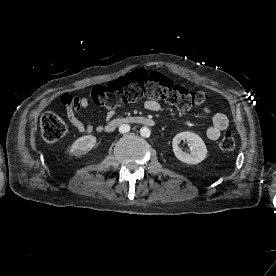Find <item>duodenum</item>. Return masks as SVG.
Masks as SVG:
<instances>
[{
    "label": "duodenum",
    "instance_id": "duodenum-1",
    "mask_svg": "<svg viewBox=\"0 0 276 276\" xmlns=\"http://www.w3.org/2000/svg\"><path fill=\"white\" fill-rule=\"evenodd\" d=\"M123 124H135V125H143V126H154V121L150 118L143 117V116H124V117H118L110 122H108L104 130L105 132H113L118 126Z\"/></svg>",
    "mask_w": 276,
    "mask_h": 276
}]
</instances>
